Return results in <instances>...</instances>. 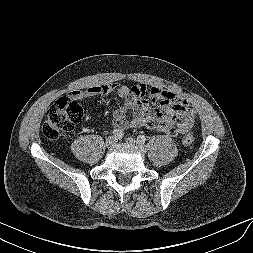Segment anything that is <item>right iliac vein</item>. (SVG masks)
<instances>
[{
    "instance_id": "right-iliac-vein-1",
    "label": "right iliac vein",
    "mask_w": 253,
    "mask_h": 253,
    "mask_svg": "<svg viewBox=\"0 0 253 253\" xmlns=\"http://www.w3.org/2000/svg\"><path fill=\"white\" fill-rule=\"evenodd\" d=\"M116 144V138L113 136H110L106 139V146L107 147H113Z\"/></svg>"
}]
</instances>
